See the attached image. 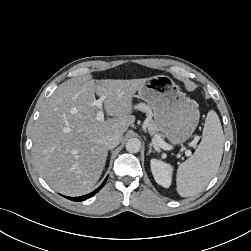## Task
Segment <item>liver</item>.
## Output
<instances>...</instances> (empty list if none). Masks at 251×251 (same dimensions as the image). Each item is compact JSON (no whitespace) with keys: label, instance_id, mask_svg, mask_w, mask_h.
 <instances>
[{"label":"liver","instance_id":"obj_1","mask_svg":"<svg viewBox=\"0 0 251 251\" xmlns=\"http://www.w3.org/2000/svg\"><path fill=\"white\" fill-rule=\"evenodd\" d=\"M148 79L69 80L44 102L32 131V154L40 175L57 192L80 196L89 193L105 167L104 139L120 140L134 123V94ZM106 96L107 120L96 119L92 104Z\"/></svg>","mask_w":251,"mask_h":251}]
</instances>
